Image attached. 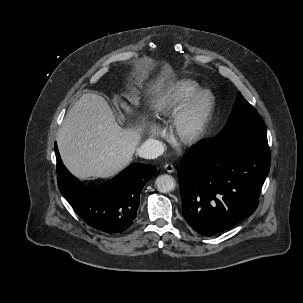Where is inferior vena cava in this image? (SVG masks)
<instances>
[{
	"label": "inferior vena cava",
	"mask_w": 303,
	"mask_h": 303,
	"mask_svg": "<svg viewBox=\"0 0 303 303\" xmlns=\"http://www.w3.org/2000/svg\"><path fill=\"white\" fill-rule=\"evenodd\" d=\"M163 152V143L155 139H148L137 150V154L145 159H155L162 155Z\"/></svg>",
	"instance_id": "inferior-vena-cava-1"
}]
</instances>
